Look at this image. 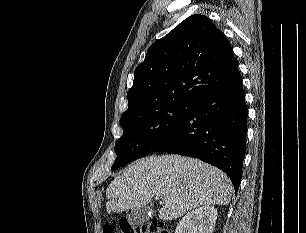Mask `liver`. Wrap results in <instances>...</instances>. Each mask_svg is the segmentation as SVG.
Returning <instances> with one entry per match:
<instances>
[{
	"label": "liver",
	"instance_id": "1",
	"mask_svg": "<svg viewBox=\"0 0 306 233\" xmlns=\"http://www.w3.org/2000/svg\"><path fill=\"white\" fill-rule=\"evenodd\" d=\"M232 192L229 178L205 162L180 155L149 156L110 183L106 210L121 213L159 196L165 200L159 218L174 220L199 206L228 205Z\"/></svg>",
	"mask_w": 306,
	"mask_h": 233
}]
</instances>
